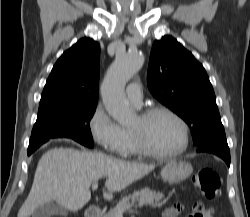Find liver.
<instances>
[{
    "label": "liver",
    "instance_id": "liver-1",
    "mask_svg": "<svg viewBox=\"0 0 250 217\" xmlns=\"http://www.w3.org/2000/svg\"><path fill=\"white\" fill-rule=\"evenodd\" d=\"M154 168L101 153L51 149L38 162L32 188L18 217H29L39 206L52 201L67 210L78 211L89 202L90 186L100 178H107L103 197L111 199L114 192L125 189Z\"/></svg>",
    "mask_w": 250,
    "mask_h": 217
}]
</instances>
